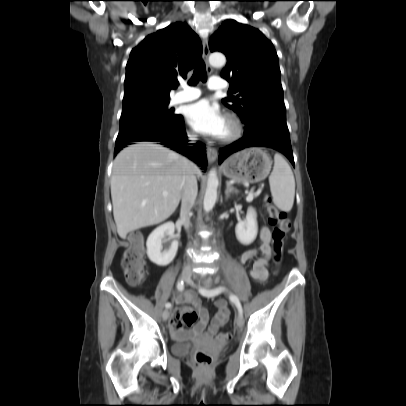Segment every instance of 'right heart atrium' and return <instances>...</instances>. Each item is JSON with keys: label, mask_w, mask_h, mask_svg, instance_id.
Wrapping results in <instances>:
<instances>
[{"label": "right heart atrium", "mask_w": 406, "mask_h": 406, "mask_svg": "<svg viewBox=\"0 0 406 406\" xmlns=\"http://www.w3.org/2000/svg\"><path fill=\"white\" fill-rule=\"evenodd\" d=\"M187 135H188V137L191 138V139H195V138H196V135H195L192 131H188V132H187Z\"/></svg>", "instance_id": "right-heart-atrium-1"}]
</instances>
